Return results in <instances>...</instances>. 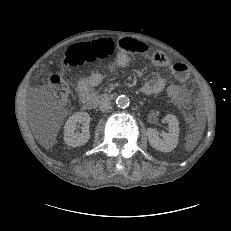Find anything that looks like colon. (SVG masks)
<instances>
[{
	"label": "colon",
	"mask_w": 231,
	"mask_h": 231,
	"mask_svg": "<svg viewBox=\"0 0 231 231\" xmlns=\"http://www.w3.org/2000/svg\"><path fill=\"white\" fill-rule=\"evenodd\" d=\"M117 50L115 42L111 39H103L91 43L89 46L84 48H74L70 54L69 58L73 64H78L84 58L90 59H105L114 55ZM52 92L54 96L58 99H65L68 94V87L63 78L58 74H52L49 78ZM170 96H176L179 89L175 85H170L167 89Z\"/></svg>",
	"instance_id": "obj_1"
}]
</instances>
